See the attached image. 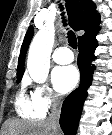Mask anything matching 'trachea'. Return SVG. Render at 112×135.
Instances as JSON below:
<instances>
[{
	"label": "trachea",
	"instance_id": "trachea-1",
	"mask_svg": "<svg viewBox=\"0 0 112 135\" xmlns=\"http://www.w3.org/2000/svg\"><path fill=\"white\" fill-rule=\"evenodd\" d=\"M59 8H61V11L63 10L62 5H60ZM62 15H64V12L62 13ZM63 24H64V26L67 25L64 17H63ZM68 43L73 49L77 48V38H76L74 32H72V31H68Z\"/></svg>",
	"mask_w": 112,
	"mask_h": 135
}]
</instances>
